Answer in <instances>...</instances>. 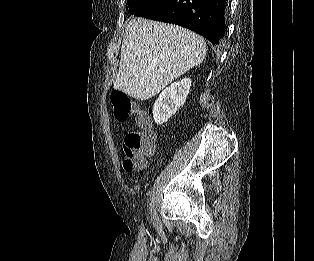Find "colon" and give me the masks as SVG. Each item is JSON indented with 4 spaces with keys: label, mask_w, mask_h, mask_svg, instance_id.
I'll return each instance as SVG.
<instances>
[{
    "label": "colon",
    "mask_w": 314,
    "mask_h": 261,
    "mask_svg": "<svg viewBox=\"0 0 314 261\" xmlns=\"http://www.w3.org/2000/svg\"><path fill=\"white\" fill-rule=\"evenodd\" d=\"M113 114L116 120L125 122L133 117L142 131L133 130L123 139L125 158L123 167L126 171L138 168L144 156L151 154L156 145V137L149 129L150 118L146 112L139 109L137 104L120 89L111 93Z\"/></svg>",
    "instance_id": "5ec220e1"
}]
</instances>
